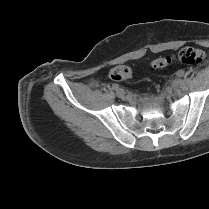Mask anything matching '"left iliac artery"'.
<instances>
[{
	"label": "left iliac artery",
	"mask_w": 209,
	"mask_h": 209,
	"mask_svg": "<svg viewBox=\"0 0 209 209\" xmlns=\"http://www.w3.org/2000/svg\"><path fill=\"white\" fill-rule=\"evenodd\" d=\"M177 75H178L179 77H183L184 72H183L182 70H179V71L177 72Z\"/></svg>",
	"instance_id": "44dca946"
}]
</instances>
